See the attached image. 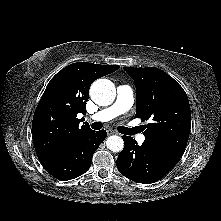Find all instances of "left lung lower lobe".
Segmentation results:
<instances>
[{
    "label": "left lung lower lobe",
    "instance_id": "1",
    "mask_svg": "<svg viewBox=\"0 0 221 221\" xmlns=\"http://www.w3.org/2000/svg\"><path fill=\"white\" fill-rule=\"evenodd\" d=\"M125 147L117 158L118 170L127 178L150 184L163 178L179 159L148 142L141 146L130 136L122 137Z\"/></svg>",
    "mask_w": 221,
    "mask_h": 221
}]
</instances>
